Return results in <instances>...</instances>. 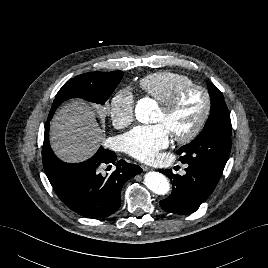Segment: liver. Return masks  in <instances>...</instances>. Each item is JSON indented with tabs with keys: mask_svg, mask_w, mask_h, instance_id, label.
Masks as SVG:
<instances>
[{
	"mask_svg": "<svg viewBox=\"0 0 268 268\" xmlns=\"http://www.w3.org/2000/svg\"><path fill=\"white\" fill-rule=\"evenodd\" d=\"M96 113L84 101L66 103L51 122L50 143L63 161L77 163L90 158L104 140Z\"/></svg>",
	"mask_w": 268,
	"mask_h": 268,
	"instance_id": "liver-1",
	"label": "liver"
}]
</instances>
